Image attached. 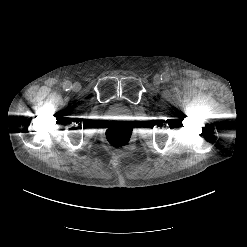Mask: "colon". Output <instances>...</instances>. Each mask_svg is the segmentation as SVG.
<instances>
[{"instance_id":"colon-1","label":"colon","mask_w":247,"mask_h":247,"mask_svg":"<svg viewBox=\"0 0 247 247\" xmlns=\"http://www.w3.org/2000/svg\"><path fill=\"white\" fill-rule=\"evenodd\" d=\"M104 141L111 148H129L134 142L133 131L129 126L110 128L104 133Z\"/></svg>"}]
</instances>
